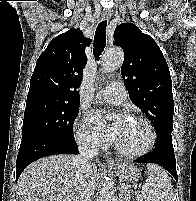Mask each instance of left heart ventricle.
<instances>
[{"instance_id":"left-heart-ventricle-1","label":"left heart ventricle","mask_w":196,"mask_h":201,"mask_svg":"<svg viewBox=\"0 0 196 201\" xmlns=\"http://www.w3.org/2000/svg\"><path fill=\"white\" fill-rule=\"evenodd\" d=\"M147 138L146 128L141 123L133 120L125 124L115 144L123 151L136 152L145 146Z\"/></svg>"}]
</instances>
